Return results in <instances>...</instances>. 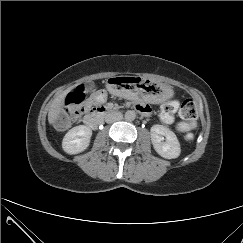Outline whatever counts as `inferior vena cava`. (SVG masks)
<instances>
[{"instance_id":"1","label":"inferior vena cava","mask_w":243,"mask_h":243,"mask_svg":"<svg viewBox=\"0 0 243 243\" xmlns=\"http://www.w3.org/2000/svg\"><path fill=\"white\" fill-rule=\"evenodd\" d=\"M123 118V115L120 112H110L106 114L105 121L106 123H113L119 121Z\"/></svg>"}]
</instances>
